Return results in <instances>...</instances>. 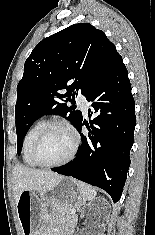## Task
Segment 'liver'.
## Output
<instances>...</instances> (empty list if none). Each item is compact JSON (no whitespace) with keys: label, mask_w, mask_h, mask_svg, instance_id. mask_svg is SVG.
<instances>
[{"label":"liver","mask_w":155,"mask_h":235,"mask_svg":"<svg viewBox=\"0 0 155 235\" xmlns=\"http://www.w3.org/2000/svg\"><path fill=\"white\" fill-rule=\"evenodd\" d=\"M61 178V175L48 170H37L20 164L15 165L13 169V189L16 202L23 191H48Z\"/></svg>","instance_id":"1"}]
</instances>
